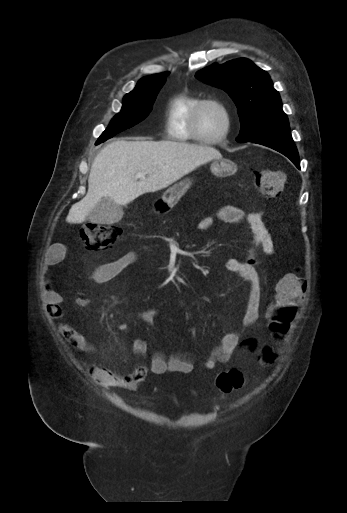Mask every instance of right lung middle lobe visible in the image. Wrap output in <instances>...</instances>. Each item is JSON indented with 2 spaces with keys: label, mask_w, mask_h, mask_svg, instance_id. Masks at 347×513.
Segmentation results:
<instances>
[{
  "label": "right lung middle lobe",
  "mask_w": 347,
  "mask_h": 513,
  "mask_svg": "<svg viewBox=\"0 0 347 513\" xmlns=\"http://www.w3.org/2000/svg\"><path fill=\"white\" fill-rule=\"evenodd\" d=\"M165 80V78H161L137 84L133 91L126 94L120 113L112 119L108 128L99 137V143L142 121L152 110L156 96Z\"/></svg>",
  "instance_id": "right-lung-middle-lobe-1"
}]
</instances>
